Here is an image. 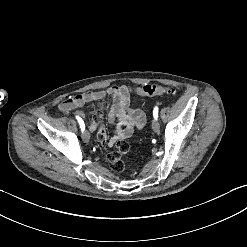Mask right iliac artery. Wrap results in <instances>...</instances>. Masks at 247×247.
I'll return each mask as SVG.
<instances>
[{"mask_svg":"<svg viewBox=\"0 0 247 247\" xmlns=\"http://www.w3.org/2000/svg\"><path fill=\"white\" fill-rule=\"evenodd\" d=\"M76 119L78 120L79 125H80V128H81V131L83 132V131L85 130L84 121H83L82 118H80L79 116H76Z\"/></svg>","mask_w":247,"mask_h":247,"instance_id":"right-iliac-artery-1","label":"right iliac artery"}]
</instances>
